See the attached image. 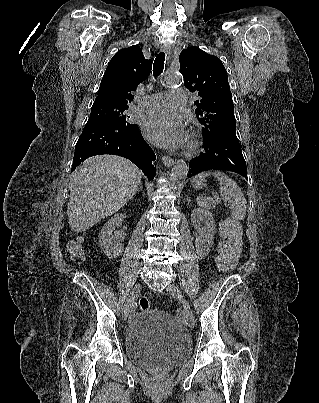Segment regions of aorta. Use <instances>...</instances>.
I'll list each match as a JSON object with an SVG mask.
<instances>
[{
	"instance_id": "obj_1",
	"label": "aorta",
	"mask_w": 319,
	"mask_h": 403,
	"mask_svg": "<svg viewBox=\"0 0 319 403\" xmlns=\"http://www.w3.org/2000/svg\"><path fill=\"white\" fill-rule=\"evenodd\" d=\"M163 84L168 87H178L181 85L182 80L178 74L168 73L163 77ZM188 174V165L184 160L176 162L172 168L170 175V186L172 188H178L181 186Z\"/></svg>"
}]
</instances>
